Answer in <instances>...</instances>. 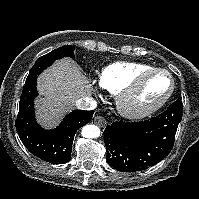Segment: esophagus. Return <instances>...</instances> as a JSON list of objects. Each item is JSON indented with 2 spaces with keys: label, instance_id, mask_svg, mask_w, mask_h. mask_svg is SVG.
Here are the masks:
<instances>
[{
  "label": "esophagus",
  "instance_id": "34e87169",
  "mask_svg": "<svg viewBox=\"0 0 199 199\" xmlns=\"http://www.w3.org/2000/svg\"><path fill=\"white\" fill-rule=\"evenodd\" d=\"M94 123L98 125L99 127H104L107 124V121L102 116H95L94 117Z\"/></svg>",
  "mask_w": 199,
  "mask_h": 199
}]
</instances>
